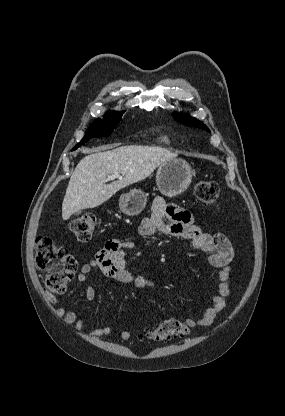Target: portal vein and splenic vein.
<instances>
[{"instance_id": "1", "label": "portal vein and splenic vein", "mask_w": 285, "mask_h": 416, "mask_svg": "<svg viewBox=\"0 0 285 416\" xmlns=\"http://www.w3.org/2000/svg\"><path fill=\"white\" fill-rule=\"evenodd\" d=\"M122 180V176H119V174H113V176H109L108 180Z\"/></svg>"}]
</instances>
